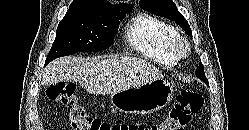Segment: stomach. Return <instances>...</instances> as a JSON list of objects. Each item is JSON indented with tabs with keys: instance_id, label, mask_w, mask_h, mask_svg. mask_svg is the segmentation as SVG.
Here are the masks:
<instances>
[{
	"instance_id": "stomach-1",
	"label": "stomach",
	"mask_w": 249,
	"mask_h": 130,
	"mask_svg": "<svg viewBox=\"0 0 249 130\" xmlns=\"http://www.w3.org/2000/svg\"><path fill=\"white\" fill-rule=\"evenodd\" d=\"M173 94V84L161 78L113 93L110 100L113 107L120 112L145 115L166 107Z\"/></svg>"
}]
</instances>
